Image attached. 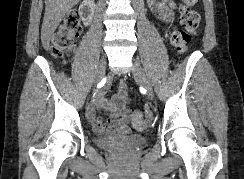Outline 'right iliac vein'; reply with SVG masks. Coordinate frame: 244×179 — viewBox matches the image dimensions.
<instances>
[{"label": "right iliac vein", "mask_w": 244, "mask_h": 179, "mask_svg": "<svg viewBox=\"0 0 244 179\" xmlns=\"http://www.w3.org/2000/svg\"><path fill=\"white\" fill-rule=\"evenodd\" d=\"M106 62L102 60L99 64V69L97 71L96 82L100 81L105 75Z\"/></svg>", "instance_id": "1"}]
</instances>
